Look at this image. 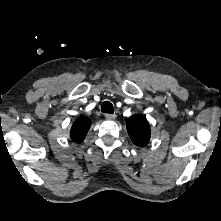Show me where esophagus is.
Wrapping results in <instances>:
<instances>
[{"instance_id":"34e87169","label":"esophagus","mask_w":221,"mask_h":221,"mask_svg":"<svg viewBox=\"0 0 221 221\" xmlns=\"http://www.w3.org/2000/svg\"><path fill=\"white\" fill-rule=\"evenodd\" d=\"M105 117L109 120H113L116 118V114H106Z\"/></svg>"}]
</instances>
